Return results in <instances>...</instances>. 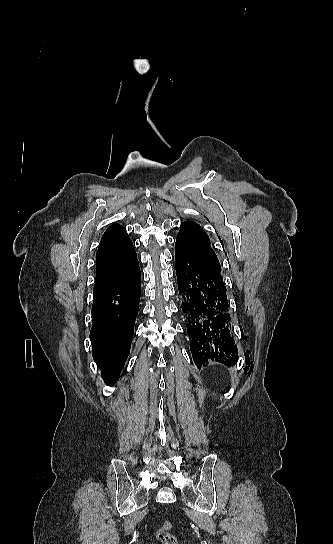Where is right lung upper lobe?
Wrapping results in <instances>:
<instances>
[{
	"mask_svg": "<svg viewBox=\"0 0 333 544\" xmlns=\"http://www.w3.org/2000/svg\"><path fill=\"white\" fill-rule=\"evenodd\" d=\"M137 255L126 229L114 224L103 234L96 254L94 290L106 286L128 272Z\"/></svg>",
	"mask_w": 333,
	"mask_h": 544,
	"instance_id": "cb5924a9",
	"label": "right lung upper lobe"
}]
</instances>
